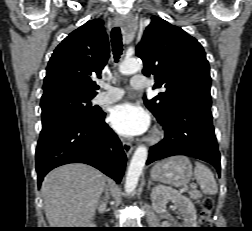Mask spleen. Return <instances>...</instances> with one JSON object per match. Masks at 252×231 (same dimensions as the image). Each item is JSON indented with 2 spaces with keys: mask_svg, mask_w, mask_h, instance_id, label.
Masks as SVG:
<instances>
[{
  "mask_svg": "<svg viewBox=\"0 0 252 231\" xmlns=\"http://www.w3.org/2000/svg\"><path fill=\"white\" fill-rule=\"evenodd\" d=\"M194 176L204 194L215 195L218 192L216 180L208 167L196 162Z\"/></svg>",
  "mask_w": 252,
  "mask_h": 231,
  "instance_id": "1",
  "label": "spleen"
}]
</instances>
